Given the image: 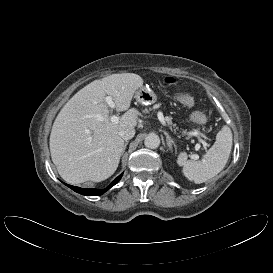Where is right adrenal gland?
Listing matches in <instances>:
<instances>
[{
  "instance_id": "obj_1",
  "label": "right adrenal gland",
  "mask_w": 273,
  "mask_h": 273,
  "mask_svg": "<svg viewBox=\"0 0 273 273\" xmlns=\"http://www.w3.org/2000/svg\"><path fill=\"white\" fill-rule=\"evenodd\" d=\"M127 144H128V141H125V144H124V148H123L122 155H123V154H124V152H125V149H126V147H127Z\"/></svg>"
}]
</instances>
